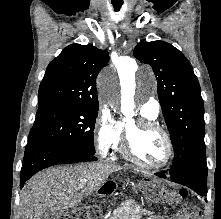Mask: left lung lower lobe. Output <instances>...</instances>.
<instances>
[{
	"instance_id": "0a47b994",
	"label": "left lung lower lobe",
	"mask_w": 221,
	"mask_h": 219,
	"mask_svg": "<svg viewBox=\"0 0 221 219\" xmlns=\"http://www.w3.org/2000/svg\"><path fill=\"white\" fill-rule=\"evenodd\" d=\"M156 176L166 178L163 173H155ZM176 183L191 188L201 196L207 195V164L201 163L190 166L177 174L169 175ZM207 201V199H205Z\"/></svg>"
}]
</instances>
